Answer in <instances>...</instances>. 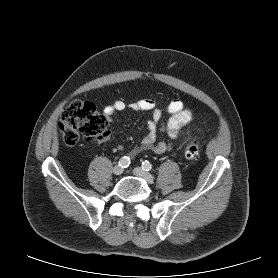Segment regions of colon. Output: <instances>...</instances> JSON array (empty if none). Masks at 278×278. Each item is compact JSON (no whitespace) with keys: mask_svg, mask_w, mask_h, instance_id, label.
I'll list each match as a JSON object with an SVG mask.
<instances>
[{"mask_svg":"<svg viewBox=\"0 0 278 278\" xmlns=\"http://www.w3.org/2000/svg\"><path fill=\"white\" fill-rule=\"evenodd\" d=\"M108 119L91 102L75 100L62 111L59 128L62 132L63 143L68 146L76 145L81 139L94 140L100 138L106 131ZM188 160H197L200 149L195 141H189L184 149Z\"/></svg>","mask_w":278,"mask_h":278,"instance_id":"colon-1","label":"colon"}]
</instances>
